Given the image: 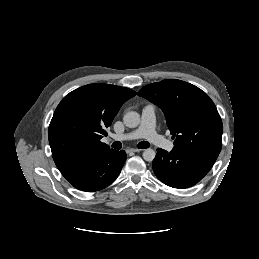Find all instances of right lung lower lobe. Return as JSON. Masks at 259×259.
<instances>
[{"mask_svg":"<svg viewBox=\"0 0 259 259\" xmlns=\"http://www.w3.org/2000/svg\"><path fill=\"white\" fill-rule=\"evenodd\" d=\"M124 150H109L75 161L56 163L64 178L75 188L95 192L109 186L119 175L126 161Z\"/></svg>","mask_w":259,"mask_h":259,"instance_id":"98d812e1","label":"right lung lower lobe"}]
</instances>
